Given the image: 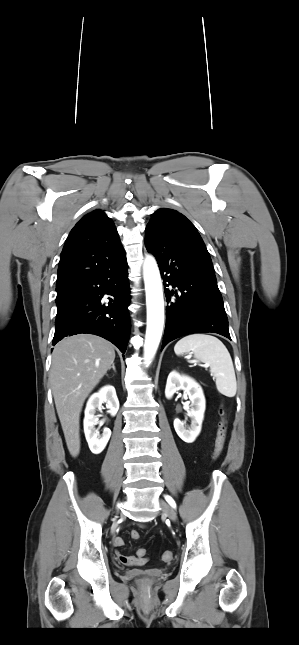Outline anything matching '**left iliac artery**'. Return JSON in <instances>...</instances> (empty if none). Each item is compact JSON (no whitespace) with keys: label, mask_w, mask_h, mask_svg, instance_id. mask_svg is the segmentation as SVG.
I'll list each match as a JSON object with an SVG mask.
<instances>
[{"label":"left iliac artery","mask_w":299,"mask_h":645,"mask_svg":"<svg viewBox=\"0 0 299 645\" xmlns=\"http://www.w3.org/2000/svg\"><path fill=\"white\" fill-rule=\"evenodd\" d=\"M165 498H166V501H167V502H168V503H169L173 508H176V503H175V501L173 500V498H172V497H170V496H166Z\"/></svg>","instance_id":"obj_1"}]
</instances>
